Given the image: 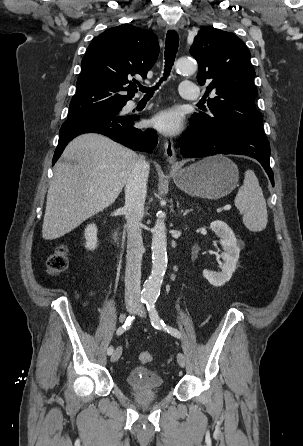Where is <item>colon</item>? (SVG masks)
I'll list each match as a JSON object with an SVG mask.
<instances>
[{
  "label": "colon",
  "mask_w": 303,
  "mask_h": 446,
  "mask_svg": "<svg viewBox=\"0 0 303 446\" xmlns=\"http://www.w3.org/2000/svg\"><path fill=\"white\" fill-rule=\"evenodd\" d=\"M68 251L65 246L58 247L46 260L47 270L52 275H59L68 268ZM153 354L149 351L141 352L139 360L143 364H148L153 361Z\"/></svg>",
  "instance_id": "colon-1"
}]
</instances>
